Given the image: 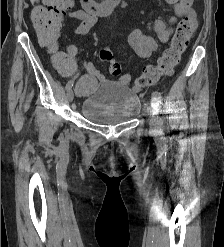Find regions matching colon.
<instances>
[{"label":"colon","mask_w":224,"mask_h":247,"mask_svg":"<svg viewBox=\"0 0 224 247\" xmlns=\"http://www.w3.org/2000/svg\"><path fill=\"white\" fill-rule=\"evenodd\" d=\"M73 5V0H44L43 5L36 6L32 11V22L37 35L48 46L56 47L59 32L62 25L64 13ZM194 23L189 16L183 17L175 31L170 46L164 50L156 65L145 68L137 78L138 86H146L155 82L161 75L167 74L180 61L181 55L186 50ZM100 60L109 65V72L113 76L121 74V64L114 60L113 53L109 47H103L99 53ZM57 65L61 73L73 78L77 83L81 94L92 91L98 85L97 80L89 74L78 73L77 62L72 57L59 58Z\"/></svg>","instance_id":"obj_1"}]
</instances>
